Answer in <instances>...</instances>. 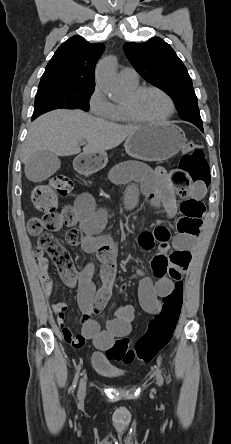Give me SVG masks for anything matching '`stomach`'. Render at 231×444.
Here are the masks:
<instances>
[{
  "label": "stomach",
  "instance_id": "obj_1",
  "mask_svg": "<svg viewBox=\"0 0 231 444\" xmlns=\"http://www.w3.org/2000/svg\"><path fill=\"white\" fill-rule=\"evenodd\" d=\"M186 137L181 128L167 122L147 125L129 136L124 144L127 154L144 161H163L176 155L184 146ZM106 153L81 154L75 168L82 174H92L107 164Z\"/></svg>",
  "mask_w": 231,
  "mask_h": 444
}]
</instances>
